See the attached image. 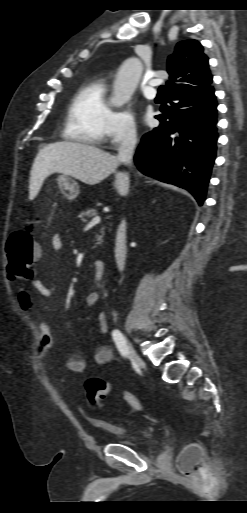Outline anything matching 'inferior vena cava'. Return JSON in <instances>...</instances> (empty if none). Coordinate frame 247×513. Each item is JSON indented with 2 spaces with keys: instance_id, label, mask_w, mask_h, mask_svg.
<instances>
[{
  "instance_id": "602c4592",
  "label": "inferior vena cava",
  "mask_w": 247,
  "mask_h": 513,
  "mask_svg": "<svg viewBox=\"0 0 247 513\" xmlns=\"http://www.w3.org/2000/svg\"><path fill=\"white\" fill-rule=\"evenodd\" d=\"M137 142V133L134 127H127L122 133L117 159L131 165L134 148ZM115 258L119 270H123L126 258L125 221L119 226L116 238Z\"/></svg>"
}]
</instances>
